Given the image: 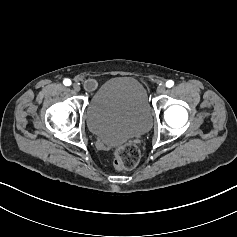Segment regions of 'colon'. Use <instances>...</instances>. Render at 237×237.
I'll return each mask as SVG.
<instances>
[{"label": "colon", "mask_w": 237, "mask_h": 237, "mask_svg": "<svg viewBox=\"0 0 237 237\" xmlns=\"http://www.w3.org/2000/svg\"><path fill=\"white\" fill-rule=\"evenodd\" d=\"M114 165L119 169L134 168L140 160V151L134 144H125L113 152Z\"/></svg>", "instance_id": "colon-1"}]
</instances>
